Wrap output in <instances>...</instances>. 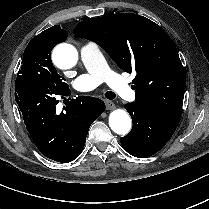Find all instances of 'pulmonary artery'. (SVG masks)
Returning a JSON list of instances; mask_svg holds the SVG:
<instances>
[{
	"instance_id": "e3ab8cb5",
	"label": "pulmonary artery",
	"mask_w": 209,
	"mask_h": 209,
	"mask_svg": "<svg viewBox=\"0 0 209 209\" xmlns=\"http://www.w3.org/2000/svg\"><path fill=\"white\" fill-rule=\"evenodd\" d=\"M80 59L87 73L78 76L73 82V88L79 92H90L101 82H106L112 91L120 98L132 101L135 92L117 74L111 72L101 54L100 47L95 42H87L80 47Z\"/></svg>"
}]
</instances>
